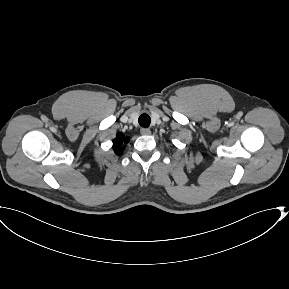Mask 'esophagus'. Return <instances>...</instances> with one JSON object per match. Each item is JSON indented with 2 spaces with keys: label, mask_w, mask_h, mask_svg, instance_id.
<instances>
[{
  "label": "esophagus",
  "mask_w": 289,
  "mask_h": 289,
  "mask_svg": "<svg viewBox=\"0 0 289 289\" xmlns=\"http://www.w3.org/2000/svg\"><path fill=\"white\" fill-rule=\"evenodd\" d=\"M142 135H150L151 134V130L149 128H142L140 130Z\"/></svg>",
  "instance_id": "34e87169"
}]
</instances>
